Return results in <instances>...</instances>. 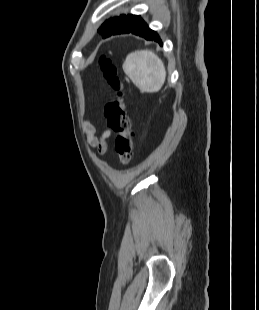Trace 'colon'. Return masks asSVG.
<instances>
[{
	"instance_id": "5ec220e1",
	"label": "colon",
	"mask_w": 259,
	"mask_h": 310,
	"mask_svg": "<svg viewBox=\"0 0 259 310\" xmlns=\"http://www.w3.org/2000/svg\"><path fill=\"white\" fill-rule=\"evenodd\" d=\"M100 66L105 79L116 92V98L105 104L103 114L108 129L116 134L115 149L120 162L123 166H127L132 160L134 133L131 129L122 83L118 69L111 60L102 58Z\"/></svg>"
}]
</instances>
